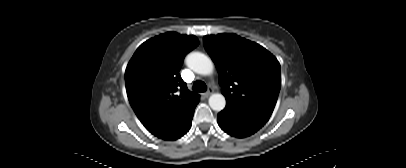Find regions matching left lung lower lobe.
I'll use <instances>...</instances> for the list:
<instances>
[{
    "mask_svg": "<svg viewBox=\"0 0 406 168\" xmlns=\"http://www.w3.org/2000/svg\"><path fill=\"white\" fill-rule=\"evenodd\" d=\"M269 117L227 104L217 117L220 128L234 137H247L258 131Z\"/></svg>",
    "mask_w": 406,
    "mask_h": 168,
    "instance_id": "0a47b994",
    "label": "left lung lower lobe"
}]
</instances>
